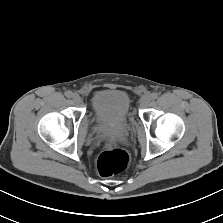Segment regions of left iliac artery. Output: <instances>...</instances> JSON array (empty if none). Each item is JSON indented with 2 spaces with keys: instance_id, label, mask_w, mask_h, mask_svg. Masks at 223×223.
Masks as SVG:
<instances>
[{
  "instance_id": "1",
  "label": "left iliac artery",
  "mask_w": 223,
  "mask_h": 223,
  "mask_svg": "<svg viewBox=\"0 0 223 223\" xmlns=\"http://www.w3.org/2000/svg\"><path fill=\"white\" fill-rule=\"evenodd\" d=\"M158 93H156V92H154V93H152L150 96H151V99L152 100H155V99H157L158 98Z\"/></svg>"
}]
</instances>
